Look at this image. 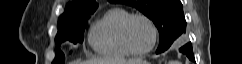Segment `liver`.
<instances>
[{
  "label": "liver",
  "mask_w": 242,
  "mask_h": 64,
  "mask_svg": "<svg viewBox=\"0 0 242 64\" xmlns=\"http://www.w3.org/2000/svg\"><path fill=\"white\" fill-rule=\"evenodd\" d=\"M140 59L124 60V59H91L88 61H74L72 64H140Z\"/></svg>",
  "instance_id": "obj_1"
}]
</instances>
